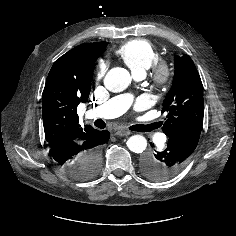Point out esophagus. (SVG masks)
Segmentation results:
<instances>
[{
	"label": "esophagus",
	"instance_id": "34e87169",
	"mask_svg": "<svg viewBox=\"0 0 236 236\" xmlns=\"http://www.w3.org/2000/svg\"><path fill=\"white\" fill-rule=\"evenodd\" d=\"M130 134H131L130 131L123 130V129H120V130L116 131V135L121 136V137H125V136H128Z\"/></svg>",
	"mask_w": 236,
	"mask_h": 236
}]
</instances>
